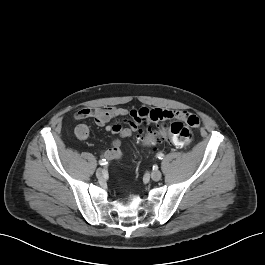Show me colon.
<instances>
[{
  "label": "colon",
  "instance_id": "obj_1",
  "mask_svg": "<svg viewBox=\"0 0 265 265\" xmlns=\"http://www.w3.org/2000/svg\"><path fill=\"white\" fill-rule=\"evenodd\" d=\"M166 118L163 110L155 109L148 111V118L150 122H158ZM199 125L198 118L192 116L189 121L184 123L181 121L172 122L165 130L148 131L141 133L138 140L143 144H155L167 137L174 145L179 147L189 146L194 139L193 128Z\"/></svg>",
  "mask_w": 265,
  "mask_h": 265
}]
</instances>
